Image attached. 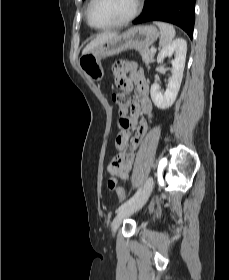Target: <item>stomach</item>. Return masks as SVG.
Masks as SVG:
<instances>
[{"instance_id":"0dacf381","label":"stomach","mask_w":229,"mask_h":280,"mask_svg":"<svg viewBox=\"0 0 229 280\" xmlns=\"http://www.w3.org/2000/svg\"><path fill=\"white\" fill-rule=\"evenodd\" d=\"M159 34L153 25L132 27L83 54L79 59V67L90 79L101 80L104 75L102 59L129 49H148L157 40Z\"/></svg>"}]
</instances>
